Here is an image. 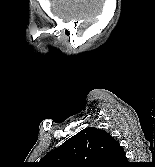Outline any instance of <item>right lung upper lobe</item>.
Listing matches in <instances>:
<instances>
[{
    "label": "right lung upper lobe",
    "mask_w": 155,
    "mask_h": 167,
    "mask_svg": "<svg viewBox=\"0 0 155 167\" xmlns=\"http://www.w3.org/2000/svg\"><path fill=\"white\" fill-rule=\"evenodd\" d=\"M43 159L47 167H116L125 161V155L109 133L88 127Z\"/></svg>",
    "instance_id": "cb5924a9"
}]
</instances>
